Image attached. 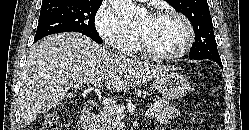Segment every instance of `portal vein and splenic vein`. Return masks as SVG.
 <instances>
[{"mask_svg": "<svg viewBox=\"0 0 249 130\" xmlns=\"http://www.w3.org/2000/svg\"><path fill=\"white\" fill-rule=\"evenodd\" d=\"M94 87L99 89L101 87V80H96L93 82ZM102 103L105 105V107L107 108V110L113 114L116 115L119 119H123L124 118V110L117 105L114 101L111 100H107V99H103ZM153 115V109H149L145 112V116L151 117Z\"/></svg>", "mask_w": 249, "mask_h": 130, "instance_id": "portal-vein-and-splenic-vein-1", "label": "portal vein and splenic vein"}]
</instances>
